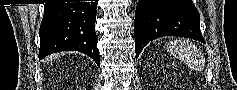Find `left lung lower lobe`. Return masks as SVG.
<instances>
[{
	"label": "left lung lower lobe",
	"instance_id": "obj_1",
	"mask_svg": "<svg viewBox=\"0 0 237 90\" xmlns=\"http://www.w3.org/2000/svg\"><path fill=\"white\" fill-rule=\"evenodd\" d=\"M134 27L136 59L146 44L162 36L187 37L205 43L199 12L192 0H139Z\"/></svg>",
	"mask_w": 237,
	"mask_h": 90
}]
</instances>
